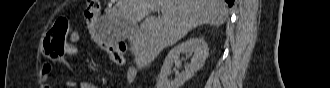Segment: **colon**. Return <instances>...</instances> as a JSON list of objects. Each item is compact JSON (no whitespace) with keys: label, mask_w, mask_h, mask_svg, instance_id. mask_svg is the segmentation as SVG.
Listing matches in <instances>:
<instances>
[{"label":"colon","mask_w":330,"mask_h":88,"mask_svg":"<svg viewBox=\"0 0 330 88\" xmlns=\"http://www.w3.org/2000/svg\"><path fill=\"white\" fill-rule=\"evenodd\" d=\"M100 10H101L100 1L98 0L88 1L84 9V17L93 42L99 48L105 50L110 47L111 43L104 40L101 36L98 35L96 31V21L100 14ZM68 35H69L68 20L65 18H60L56 20V22L53 24V26L50 28V30L47 32L44 38L43 52L45 56L52 60H58L62 58L66 51ZM110 58L117 65L121 63L120 53H118L115 56H110Z\"/></svg>","instance_id":"1"}]
</instances>
